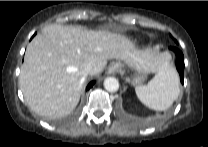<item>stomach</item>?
I'll return each mask as SVG.
<instances>
[{
  "label": "stomach",
  "mask_w": 208,
  "mask_h": 147,
  "mask_svg": "<svg viewBox=\"0 0 208 147\" xmlns=\"http://www.w3.org/2000/svg\"><path fill=\"white\" fill-rule=\"evenodd\" d=\"M119 65L122 68L124 67L123 64L119 63ZM145 78H146V74L143 71L135 70V73L132 77V84L134 86L141 85L144 82Z\"/></svg>",
  "instance_id": "stomach-1"
}]
</instances>
